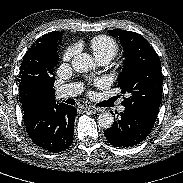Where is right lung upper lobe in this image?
Instances as JSON below:
<instances>
[{"label":"right lung upper lobe","instance_id":"right-lung-upper-lobe-1","mask_svg":"<svg viewBox=\"0 0 183 183\" xmlns=\"http://www.w3.org/2000/svg\"><path fill=\"white\" fill-rule=\"evenodd\" d=\"M61 32H50L38 38L24 55L19 73V92L23 109L34 103L30 99L32 90L55 81L53 67L58 62L57 42ZM54 99V98H52Z\"/></svg>","mask_w":183,"mask_h":183}]
</instances>
